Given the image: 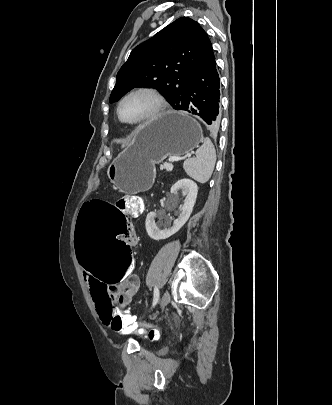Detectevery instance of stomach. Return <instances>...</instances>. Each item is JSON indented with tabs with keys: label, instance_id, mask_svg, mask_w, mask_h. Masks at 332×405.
<instances>
[{
	"label": "stomach",
	"instance_id": "obj_1",
	"mask_svg": "<svg viewBox=\"0 0 332 405\" xmlns=\"http://www.w3.org/2000/svg\"><path fill=\"white\" fill-rule=\"evenodd\" d=\"M203 140L200 124L181 111L165 112L140 125L129 146L109 165L107 176L121 192L135 194L149 188L155 164L168 156H182Z\"/></svg>",
	"mask_w": 332,
	"mask_h": 405
}]
</instances>
